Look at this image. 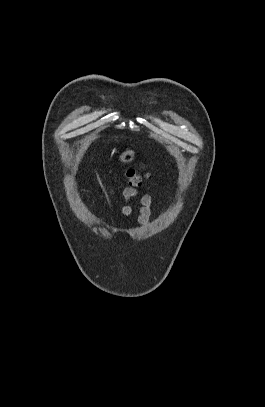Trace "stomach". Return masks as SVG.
I'll return each instance as SVG.
<instances>
[{"label": "stomach", "mask_w": 265, "mask_h": 407, "mask_svg": "<svg viewBox=\"0 0 265 407\" xmlns=\"http://www.w3.org/2000/svg\"><path fill=\"white\" fill-rule=\"evenodd\" d=\"M119 158L123 163H130L135 158V152L133 150H126L120 155Z\"/></svg>", "instance_id": "1"}]
</instances>
